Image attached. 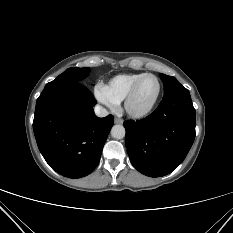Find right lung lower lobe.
<instances>
[{
	"instance_id": "right-lung-lower-lobe-1",
	"label": "right lung lower lobe",
	"mask_w": 233,
	"mask_h": 233,
	"mask_svg": "<svg viewBox=\"0 0 233 233\" xmlns=\"http://www.w3.org/2000/svg\"><path fill=\"white\" fill-rule=\"evenodd\" d=\"M95 104L79 82L45 86L36 101L33 130L38 148L50 167L65 177H84L100 161L114 117H97Z\"/></svg>"
}]
</instances>
